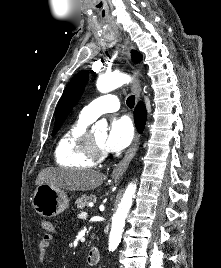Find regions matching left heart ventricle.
Instances as JSON below:
<instances>
[{"instance_id":"b2bd125f","label":"left heart ventricle","mask_w":221,"mask_h":268,"mask_svg":"<svg viewBox=\"0 0 221 268\" xmlns=\"http://www.w3.org/2000/svg\"><path fill=\"white\" fill-rule=\"evenodd\" d=\"M92 134V137L94 139V141L96 142V144L103 148V143H104V140H105V134L102 133V132H94V133H91Z\"/></svg>"}]
</instances>
